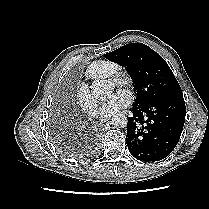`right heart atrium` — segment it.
<instances>
[{
    "mask_svg": "<svg viewBox=\"0 0 209 209\" xmlns=\"http://www.w3.org/2000/svg\"><path fill=\"white\" fill-rule=\"evenodd\" d=\"M75 101L81 110L87 115L94 117L97 115V102L85 86H80L75 94Z\"/></svg>",
    "mask_w": 209,
    "mask_h": 209,
    "instance_id": "obj_1",
    "label": "right heart atrium"
}]
</instances>
